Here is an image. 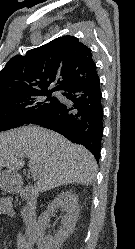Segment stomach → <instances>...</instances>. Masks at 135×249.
Here are the masks:
<instances>
[{
  "mask_svg": "<svg viewBox=\"0 0 135 249\" xmlns=\"http://www.w3.org/2000/svg\"><path fill=\"white\" fill-rule=\"evenodd\" d=\"M17 179L14 173L9 171H2L0 168V186H4L6 189H11L12 186L16 185Z\"/></svg>",
  "mask_w": 135,
  "mask_h": 249,
  "instance_id": "stomach-1",
  "label": "stomach"
}]
</instances>
